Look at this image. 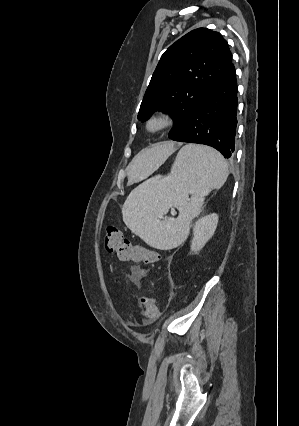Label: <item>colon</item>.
I'll return each mask as SVG.
<instances>
[{
  "label": "colon",
  "instance_id": "1",
  "mask_svg": "<svg viewBox=\"0 0 299 426\" xmlns=\"http://www.w3.org/2000/svg\"><path fill=\"white\" fill-rule=\"evenodd\" d=\"M104 246L107 252L116 253L118 259L122 262L152 264L160 258L157 251L132 243L114 225H109L106 228ZM140 302L145 322L150 324L156 321L159 317V310L155 299L151 296H142Z\"/></svg>",
  "mask_w": 299,
  "mask_h": 426
}]
</instances>
